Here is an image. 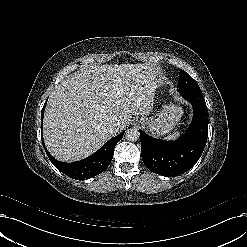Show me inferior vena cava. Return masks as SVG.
<instances>
[{
    "label": "inferior vena cava",
    "mask_w": 247,
    "mask_h": 247,
    "mask_svg": "<svg viewBox=\"0 0 247 247\" xmlns=\"http://www.w3.org/2000/svg\"><path fill=\"white\" fill-rule=\"evenodd\" d=\"M119 127V123L118 122H115V121H112L109 125H108V129L112 132H115L117 131Z\"/></svg>",
    "instance_id": "1"
}]
</instances>
